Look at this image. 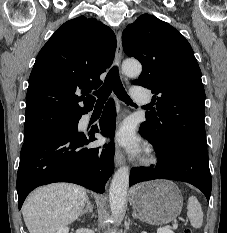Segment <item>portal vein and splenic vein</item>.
I'll use <instances>...</instances> for the list:
<instances>
[{"label": "portal vein and splenic vein", "mask_w": 227, "mask_h": 233, "mask_svg": "<svg viewBox=\"0 0 227 233\" xmlns=\"http://www.w3.org/2000/svg\"><path fill=\"white\" fill-rule=\"evenodd\" d=\"M177 227H178V223H177V221H174V223L172 224V228L176 229Z\"/></svg>", "instance_id": "obj_1"}]
</instances>
